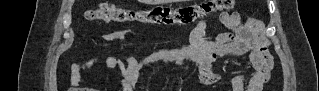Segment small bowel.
<instances>
[{
	"instance_id": "small-bowel-1",
	"label": "small bowel",
	"mask_w": 319,
	"mask_h": 91,
	"mask_svg": "<svg viewBox=\"0 0 319 91\" xmlns=\"http://www.w3.org/2000/svg\"><path fill=\"white\" fill-rule=\"evenodd\" d=\"M220 22L227 31L214 39L208 38L207 21L203 20L192 29L187 44L181 43L161 51L144 50L140 58L126 55L122 60L106 56L100 60L75 63L72 67V82L80 81L82 70L101 64L119 75L123 91H134L142 68L156 62H168L180 66L185 73L190 63L196 64L201 82L215 86L221 82V76L214 69L218 59L249 54L254 67L253 74L248 79L242 75L233 77L229 91L262 90L268 81L269 70L260 63L262 54L267 51V41L262 35L261 25L257 20L239 13H222ZM135 35L128 30L113 31L104 35L103 40L111 44L126 45L128 39Z\"/></svg>"
}]
</instances>
